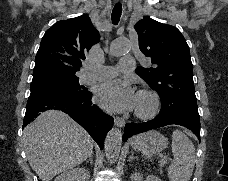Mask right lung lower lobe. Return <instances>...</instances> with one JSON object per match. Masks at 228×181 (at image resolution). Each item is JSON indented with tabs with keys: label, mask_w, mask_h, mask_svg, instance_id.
Returning a JSON list of instances; mask_svg holds the SVG:
<instances>
[{
	"label": "right lung lower lobe",
	"mask_w": 228,
	"mask_h": 181,
	"mask_svg": "<svg viewBox=\"0 0 228 181\" xmlns=\"http://www.w3.org/2000/svg\"><path fill=\"white\" fill-rule=\"evenodd\" d=\"M91 98L92 93L87 90L84 96L79 97L55 90L32 92L28 98L23 127L39 112L49 109L61 110L78 122L102 149L105 136L112 128L114 119L93 105Z\"/></svg>",
	"instance_id": "right-lung-lower-lobe-1"
}]
</instances>
